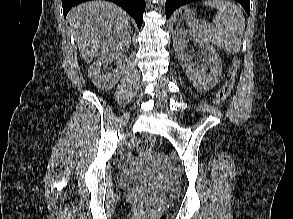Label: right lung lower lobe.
<instances>
[{
  "label": "right lung lower lobe",
  "instance_id": "98d812e1",
  "mask_svg": "<svg viewBox=\"0 0 293 219\" xmlns=\"http://www.w3.org/2000/svg\"><path fill=\"white\" fill-rule=\"evenodd\" d=\"M88 0H62L63 15L66 17L71 7ZM114 2L125 9L136 21L140 28L142 25V15L145 10V0H108Z\"/></svg>",
  "mask_w": 293,
  "mask_h": 219
}]
</instances>
